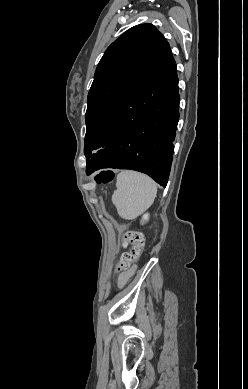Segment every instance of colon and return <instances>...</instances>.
<instances>
[{"instance_id":"1","label":"colon","mask_w":248,"mask_h":389,"mask_svg":"<svg viewBox=\"0 0 248 389\" xmlns=\"http://www.w3.org/2000/svg\"><path fill=\"white\" fill-rule=\"evenodd\" d=\"M113 177L114 174L111 171H101L95 178L98 183L107 184L112 181ZM124 243L130 244L132 248L121 254L120 260L115 267L117 273L128 270L132 263L138 258L144 247V235L138 231H128L124 235Z\"/></svg>"}]
</instances>
